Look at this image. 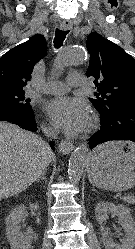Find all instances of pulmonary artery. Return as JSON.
<instances>
[{"label": "pulmonary artery", "instance_id": "pulmonary-artery-1", "mask_svg": "<svg viewBox=\"0 0 135 249\" xmlns=\"http://www.w3.org/2000/svg\"><path fill=\"white\" fill-rule=\"evenodd\" d=\"M87 84L86 79L81 74L74 73L69 75L66 83L51 81L44 85L41 91L48 94H63L68 92L71 88H80Z\"/></svg>", "mask_w": 135, "mask_h": 249}]
</instances>
